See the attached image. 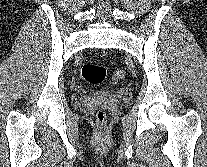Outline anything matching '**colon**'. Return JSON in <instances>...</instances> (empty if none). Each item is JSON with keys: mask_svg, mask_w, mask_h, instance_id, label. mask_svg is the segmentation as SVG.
<instances>
[{"mask_svg": "<svg viewBox=\"0 0 207 167\" xmlns=\"http://www.w3.org/2000/svg\"><path fill=\"white\" fill-rule=\"evenodd\" d=\"M82 79L92 85L101 84L106 77V69L103 66L87 63L83 65L80 71ZM125 71L122 69L116 70L112 75V83L116 84L125 78ZM96 119L99 122L105 120V112L100 109L96 113Z\"/></svg>", "mask_w": 207, "mask_h": 167, "instance_id": "1", "label": "colon"}]
</instances>
